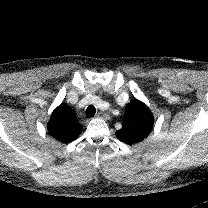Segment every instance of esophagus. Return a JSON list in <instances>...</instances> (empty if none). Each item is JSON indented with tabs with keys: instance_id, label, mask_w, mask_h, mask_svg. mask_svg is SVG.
<instances>
[{
	"instance_id": "obj_1",
	"label": "esophagus",
	"mask_w": 208,
	"mask_h": 208,
	"mask_svg": "<svg viewBox=\"0 0 208 208\" xmlns=\"http://www.w3.org/2000/svg\"><path fill=\"white\" fill-rule=\"evenodd\" d=\"M96 118L109 119L110 117L106 112L101 111L96 115Z\"/></svg>"
}]
</instances>
